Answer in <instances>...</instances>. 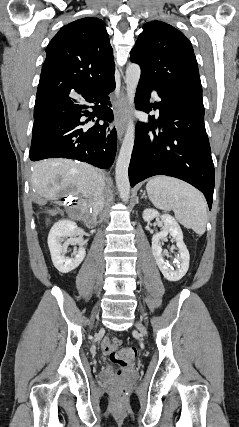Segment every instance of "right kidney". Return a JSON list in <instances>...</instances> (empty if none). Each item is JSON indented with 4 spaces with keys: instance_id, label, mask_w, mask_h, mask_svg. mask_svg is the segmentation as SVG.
<instances>
[{
    "instance_id": "ca27d5eb",
    "label": "right kidney",
    "mask_w": 239,
    "mask_h": 427,
    "mask_svg": "<svg viewBox=\"0 0 239 427\" xmlns=\"http://www.w3.org/2000/svg\"><path fill=\"white\" fill-rule=\"evenodd\" d=\"M77 225L72 220H61L54 224L48 235V246L51 258L56 269L61 273H68L77 268L86 256V251L80 247L77 252L73 253L71 258L64 255L67 252V244L62 245L63 238L73 237L77 232ZM70 242L76 243L74 239Z\"/></svg>"
}]
</instances>
